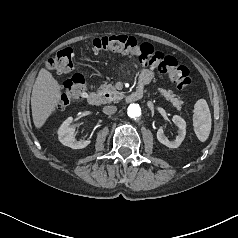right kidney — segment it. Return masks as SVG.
<instances>
[{"instance_id":"ca27d5eb","label":"right kidney","mask_w":238,"mask_h":238,"mask_svg":"<svg viewBox=\"0 0 238 238\" xmlns=\"http://www.w3.org/2000/svg\"><path fill=\"white\" fill-rule=\"evenodd\" d=\"M73 118H67L58 129L59 141L72 149H82L90 144V140L78 141L74 137L75 127L72 125Z\"/></svg>"}]
</instances>
